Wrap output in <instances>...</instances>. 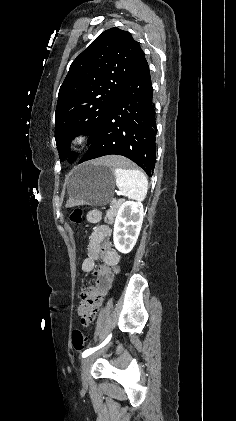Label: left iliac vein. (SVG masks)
<instances>
[{"label":"left iliac vein","mask_w":236,"mask_h":421,"mask_svg":"<svg viewBox=\"0 0 236 421\" xmlns=\"http://www.w3.org/2000/svg\"><path fill=\"white\" fill-rule=\"evenodd\" d=\"M97 356L98 354L90 355L83 360L82 369H81V377H82L84 386H87L89 373H90V367H91L92 362L95 360Z\"/></svg>","instance_id":"obj_1"}]
</instances>
